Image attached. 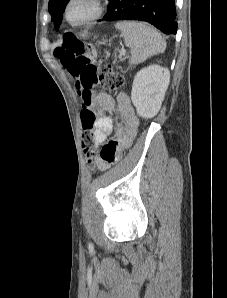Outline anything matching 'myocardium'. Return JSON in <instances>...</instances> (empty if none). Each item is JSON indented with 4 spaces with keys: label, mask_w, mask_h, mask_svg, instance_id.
Segmentation results:
<instances>
[{
    "label": "myocardium",
    "mask_w": 227,
    "mask_h": 298,
    "mask_svg": "<svg viewBox=\"0 0 227 298\" xmlns=\"http://www.w3.org/2000/svg\"><path fill=\"white\" fill-rule=\"evenodd\" d=\"M73 2H74V0H68L67 4L65 6V18L68 21V23H70L73 26H82V25L89 24V23L97 20L103 14L104 1L103 0H92V2L94 4V12L89 17H87L86 19H84L82 21L73 22L70 19V15H69L70 6Z\"/></svg>",
    "instance_id": "1"
}]
</instances>
